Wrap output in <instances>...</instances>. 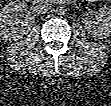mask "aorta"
<instances>
[{"instance_id": "1", "label": "aorta", "mask_w": 111, "mask_h": 106, "mask_svg": "<svg viewBox=\"0 0 111 106\" xmlns=\"http://www.w3.org/2000/svg\"><path fill=\"white\" fill-rule=\"evenodd\" d=\"M57 15H63L64 14V9L62 7H59L55 10Z\"/></svg>"}]
</instances>
